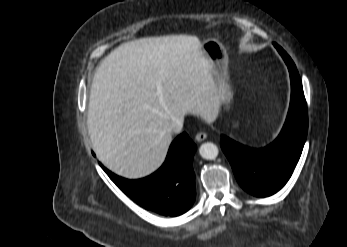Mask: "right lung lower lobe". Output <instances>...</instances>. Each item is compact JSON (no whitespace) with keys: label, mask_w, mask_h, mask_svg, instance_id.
Here are the masks:
<instances>
[{"label":"right lung lower lobe","mask_w":347,"mask_h":247,"mask_svg":"<svg viewBox=\"0 0 347 247\" xmlns=\"http://www.w3.org/2000/svg\"><path fill=\"white\" fill-rule=\"evenodd\" d=\"M196 145L184 132L171 144L163 165L153 174L139 180H128L113 174L101 163L110 179L143 208L165 216L185 213L196 197L193 156Z\"/></svg>","instance_id":"right-lung-lower-lobe-1"}]
</instances>
